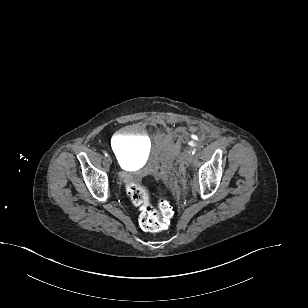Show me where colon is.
<instances>
[{"label": "colon", "instance_id": "obj_1", "mask_svg": "<svg viewBox=\"0 0 308 308\" xmlns=\"http://www.w3.org/2000/svg\"><path fill=\"white\" fill-rule=\"evenodd\" d=\"M126 192L133 204L139 209V224L149 232H157L168 227L173 215V205L163 196L158 199V206L151 204L152 190L143 183H130Z\"/></svg>", "mask_w": 308, "mask_h": 308}]
</instances>
